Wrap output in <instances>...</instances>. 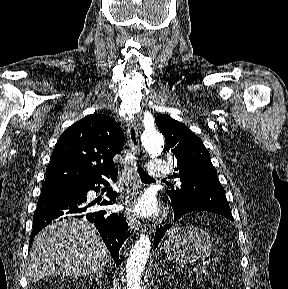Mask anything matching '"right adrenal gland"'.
<instances>
[{
  "label": "right adrenal gland",
  "instance_id": "right-adrenal-gland-1",
  "mask_svg": "<svg viewBox=\"0 0 288 289\" xmlns=\"http://www.w3.org/2000/svg\"><path fill=\"white\" fill-rule=\"evenodd\" d=\"M103 272L100 271L98 272L96 275H93L92 278L95 279V281H97L98 285L100 286V288L102 289V284H101V277H102Z\"/></svg>",
  "mask_w": 288,
  "mask_h": 289
}]
</instances>
